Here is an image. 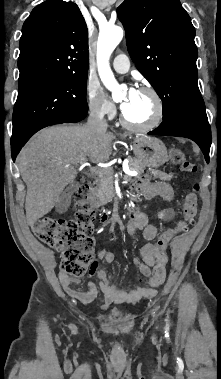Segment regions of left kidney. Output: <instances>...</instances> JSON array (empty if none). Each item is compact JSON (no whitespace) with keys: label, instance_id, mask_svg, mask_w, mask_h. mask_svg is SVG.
Segmentation results:
<instances>
[{"label":"left kidney","instance_id":"left-kidney-1","mask_svg":"<svg viewBox=\"0 0 221 379\" xmlns=\"http://www.w3.org/2000/svg\"><path fill=\"white\" fill-rule=\"evenodd\" d=\"M171 215H173L172 210H164L158 215V217L161 219H169Z\"/></svg>","mask_w":221,"mask_h":379}]
</instances>
